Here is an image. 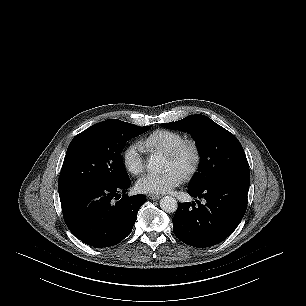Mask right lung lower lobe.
Returning <instances> with one entry per match:
<instances>
[{
  "label": "right lung lower lobe",
  "mask_w": 306,
  "mask_h": 306,
  "mask_svg": "<svg viewBox=\"0 0 306 306\" xmlns=\"http://www.w3.org/2000/svg\"><path fill=\"white\" fill-rule=\"evenodd\" d=\"M129 186L130 179L119 184L93 182L59 194L69 230L82 242L98 248L116 245L126 238L146 202L141 194H125L120 199L119 193H125Z\"/></svg>",
  "instance_id": "right-lung-lower-lobe-1"
}]
</instances>
